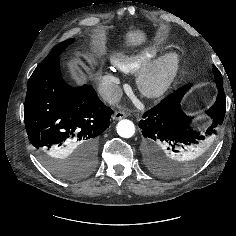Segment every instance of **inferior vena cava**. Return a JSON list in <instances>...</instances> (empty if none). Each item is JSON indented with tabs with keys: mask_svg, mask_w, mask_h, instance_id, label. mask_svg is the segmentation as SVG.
<instances>
[{
	"mask_svg": "<svg viewBox=\"0 0 236 236\" xmlns=\"http://www.w3.org/2000/svg\"><path fill=\"white\" fill-rule=\"evenodd\" d=\"M122 95V89L118 85H114L113 87L102 93V98L108 104L113 105L120 101Z\"/></svg>",
	"mask_w": 236,
	"mask_h": 236,
	"instance_id": "1",
	"label": "inferior vena cava"
}]
</instances>
